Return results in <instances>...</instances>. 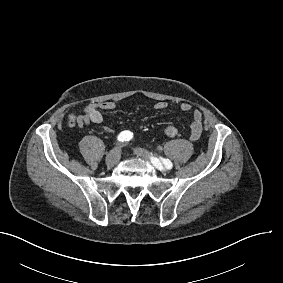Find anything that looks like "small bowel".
Instances as JSON below:
<instances>
[{
    "mask_svg": "<svg viewBox=\"0 0 283 283\" xmlns=\"http://www.w3.org/2000/svg\"><path fill=\"white\" fill-rule=\"evenodd\" d=\"M116 108L113 101H101L89 103L84 107L83 114L78 117L79 125H86L89 123H102L104 121L103 111H112ZM180 111L183 113L191 112L192 121L190 124V140H199L203 129V116L200 110H192V106L188 102H182L179 105ZM154 109L157 112H164L167 109V103L158 101L154 104ZM111 132L110 128H106Z\"/></svg>",
    "mask_w": 283,
    "mask_h": 283,
    "instance_id": "small-bowel-1",
    "label": "small bowel"
}]
</instances>
